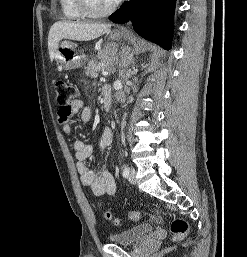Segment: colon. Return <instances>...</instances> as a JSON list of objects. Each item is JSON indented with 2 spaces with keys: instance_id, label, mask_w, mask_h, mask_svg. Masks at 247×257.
<instances>
[{
  "instance_id": "colon-1",
  "label": "colon",
  "mask_w": 247,
  "mask_h": 257,
  "mask_svg": "<svg viewBox=\"0 0 247 257\" xmlns=\"http://www.w3.org/2000/svg\"><path fill=\"white\" fill-rule=\"evenodd\" d=\"M55 90L56 103L62 111H66L78 96V90L76 87L64 81L57 82L55 85ZM103 215L106 220L113 221L116 225L120 223L119 219L114 218L110 211H105ZM139 218L140 214L138 212H131L128 216L130 222H137ZM170 230L174 240H182L189 232V224L186 220L177 217L172 219Z\"/></svg>"
}]
</instances>
